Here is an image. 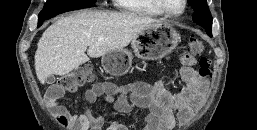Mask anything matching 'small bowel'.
<instances>
[{"mask_svg": "<svg viewBox=\"0 0 257 130\" xmlns=\"http://www.w3.org/2000/svg\"><path fill=\"white\" fill-rule=\"evenodd\" d=\"M179 80L182 88L177 92L170 91L162 81L149 84L143 81L117 86L110 82L95 83L84 93L88 103H94L104 96L115 101L119 114L128 115L134 108L143 114L141 130H173L177 118L186 119L190 112L202 102L208 82L194 69L195 59L190 54L180 58ZM61 97V96H60ZM46 95L48 105L57 113L67 115L73 130H132V124L107 119L104 116H93L90 111L70 115L59 98Z\"/></svg>", "mask_w": 257, "mask_h": 130, "instance_id": "c3829d8e", "label": "small bowel"}]
</instances>
